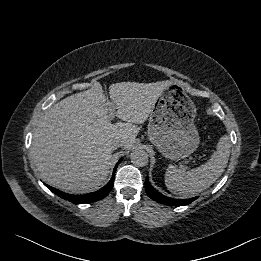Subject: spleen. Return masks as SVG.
<instances>
[{"instance_id":"obj_1","label":"spleen","mask_w":261,"mask_h":261,"mask_svg":"<svg viewBox=\"0 0 261 261\" xmlns=\"http://www.w3.org/2000/svg\"><path fill=\"white\" fill-rule=\"evenodd\" d=\"M230 139L220 138L211 158L198 168L186 171L169 165L165 173V184L169 191L184 197L193 196L209 188L223 173L230 156Z\"/></svg>"}]
</instances>
